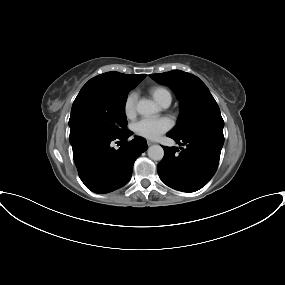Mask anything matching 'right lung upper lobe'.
<instances>
[{
	"instance_id": "cb5924a9",
	"label": "right lung upper lobe",
	"mask_w": 285,
	"mask_h": 285,
	"mask_svg": "<svg viewBox=\"0 0 285 285\" xmlns=\"http://www.w3.org/2000/svg\"><path fill=\"white\" fill-rule=\"evenodd\" d=\"M146 75H127L119 72H107L90 79L81 90L88 88L131 90Z\"/></svg>"
}]
</instances>
